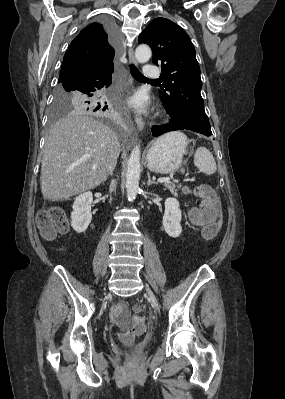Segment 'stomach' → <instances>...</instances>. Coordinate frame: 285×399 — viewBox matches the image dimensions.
I'll use <instances>...</instances> for the list:
<instances>
[{
    "label": "stomach",
    "instance_id": "stomach-1",
    "mask_svg": "<svg viewBox=\"0 0 285 399\" xmlns=\"http://www.w3.org/2000/svg\"><path fill=\"white\" fill-rule=\"evenodd\" d=\"M186 145V137L180 132L160 137L147 153L148 169L160 174L176 171L183 163Z\"/></svg>",
    "mask_w": 285,
    "mask_h": 399
}]
</instances>
